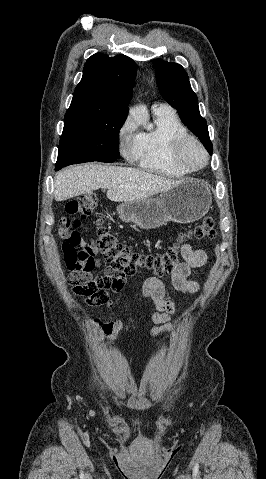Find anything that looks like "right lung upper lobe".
<instances>
[{
  "instance_id": "right-lung-upper-lobe-1",
  "label": "right lung upper lobe",
  "mask_w": 266,
  "mask_h": 479,
  "mask_svg": "<svg viewBox=\"0 0 266 479\" xmlns=\"http://www.w3.org/2000/svg\"><path fill=\"white\" fill-rule=\"evenodd\" d=\"M135 76L134 61L123 54L111 58L101 53L92 55L65 116L127 117Z\"/></svg>"
}]
</instances>
